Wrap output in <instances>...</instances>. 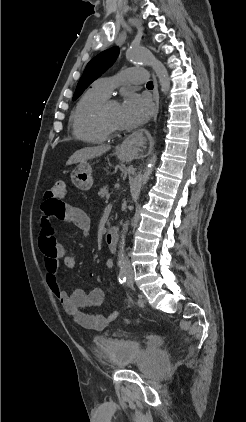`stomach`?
<instances>
[{"label": "stomach", "instance_id": "1", "mask_svg": "<svg viewBox=\"0 0 246 422\" xmlns=\"http://www.w3.org/2000/svg\"><path fill=\"white\" fill-rule=\"evenodd\" d=\"M119 158L124 159L128 156L125 150L119 149L117 151ZM71 181L82 191H87L93 186L92 168L89 163H80L71 174Z\"/></svg>", "mask_w": 246, "mask_h": 422}]
</instances>
